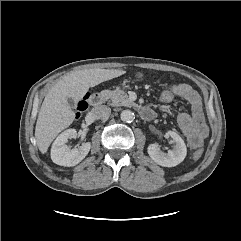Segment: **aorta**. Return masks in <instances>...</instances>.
<instances>
[{
    "mask_svg": "<svg viewBox=\"0 0 241 241\" xmlns=\"http://www.w3.org/2000/svg\"><path fill=\"white\" fill-rule=\"evenodd\" d=\"M120 118L123 122H132L134 120V113L131 110H123Z\"/></svg>",
    "mask_w": 241,
    "mask_h": 241,
    "instance_id": "obj_1",
    "label": "aorta"
}]
</instances>
